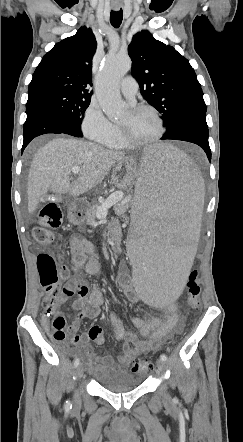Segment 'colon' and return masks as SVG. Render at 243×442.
<instances>
[{"label": "colon", "mask_w": 243, "mask_h": 442, "mask_svg": "<svg viewBox=\"0 0 243 442\" xmlns=\"http://www.w3.org/2000/svg\"><path fill=\"white\" fill-rule=\"evenodd\" d=\"M117 220L122 222L123 226L128 227L131 224L129 213H119ZM63 222V212L58 200H49L40 212V221L34 226L32 236L34 241L41 247L50 248L56 246V239L52 230L58 229ZM38 271L41 286L46 291L44 300L45 314L49 316V326L56 340H64L67 337L65 332V319L55 312L59 299L64 296L73 295L71 290L61 289L59 278L66 275V270L57 268L54 258L45 253L38 256ZM200 267L193 266L189 272V278L186 279L187 292L186 301L189 308L196 311L200 307L202 298L201 284L199 281ZM44 314V315H45ZM56 317L50 322L51 316ZM132 372L136 374H147L152 371L153 364L142 357H133Z\"/></svg>", "instance_id": "5ec220e1"}]
</instances>
